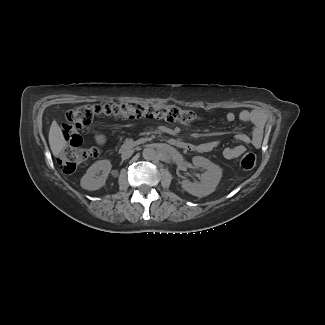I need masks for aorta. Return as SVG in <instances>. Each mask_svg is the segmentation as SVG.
Instances as JSON below:
<instances>
[{
	"mask_svg": "<svg viewBox=\"0 0 325 325\" xmlns=\"http://www.w3.org/2000/svg\"><path fill=\"white\" fill-rule=\"evenodd\" d=\"M143 158L145 160H154L157 156L155 149L151 147L144 148L142 152Z\"/></svg>",
	"mask_w": 325,
	"mask_h": 325,
	"instance_id": "762f6f07",
	"label": "aorta"
}]
</instances>
